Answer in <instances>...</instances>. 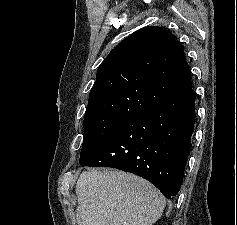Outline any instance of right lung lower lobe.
Wrapping results in <instances>:
<instances>
[{
	"instance_id": "obj_1",
	"label": "right lung lower lobe",
	"mask_w": 237,
	"mask_h": 225,
	"mask_svg": "<svg viewBox=\"0 0 237 225\" xmlns=\"http://www.w3.org/2000/svg\"><path fill=\"white\" fill-rule=\"evenodd\" d=\"M195 97L191 87L145 108L81 159L80 165L131 172L172 199L180 190L191 147Z\"/></svg>"
}]
</instances>
